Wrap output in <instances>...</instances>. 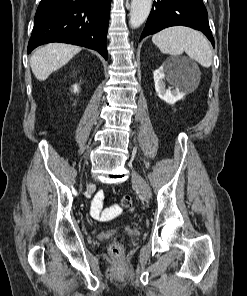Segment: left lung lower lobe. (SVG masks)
<instances>
[{"instance_id": "0a47b994", "label": "left lung lower lobe", "mask_w": 247, "mask_h": 296, "mask_svg": "<svg viewBox=\"0 0 247 296\" xmlns=\"http://www.w3.org/2000/svg\"><path fill=\"white\" fill-rule=\"evenodd\" d=\"M176 25L188 26L203 32L214 47L207 10L202 0H155L140 40Z\"/></svg>"}]
</instances>
